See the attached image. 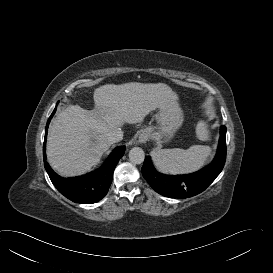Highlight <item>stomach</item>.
Instances as JSON below:
<instances>
[{
	"label": "stomach",
	"mask_w": 273,
	"mask_h": 273,
	"mask_svg": "<svg viewBox=\"0 0 273 273\" xmlns=\"http://www.w3.org/2000/svg\"><path fill=\"white\" fill-rule=\"evenodd\" d=\"M155 118L158 125L147 128V131L156 140L167 141L183 122V113L178 101L159 106Z\"/></svg>",
	"instance_id": "1"
}]
</instances>
